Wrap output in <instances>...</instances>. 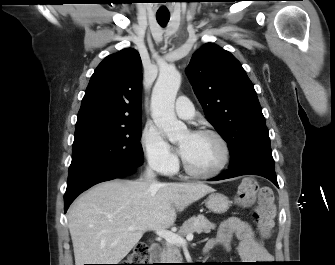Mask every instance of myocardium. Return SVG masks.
I'll return each instance as SVG.
<instances>
[{
  "label": "myocardium",
  "instance_id": "f54148a6",
  "mask_svg": "<svg viewBox=\"0 0 335 265\" xmlns=\"http://www.w3.org/2000/svg\"><path fill=\"white\" fill-rule=\"evenodd\" d=\"M191 134L196 136H211L214 137L222 148V159L220 163L211 171L199 172L192 169L182 158V167L185 173L196 179H210L218 176L228 165L231 157V150L227 140L219 132L211 129H199L193 131Z\"/></svg>",
  "mask_w": 335,
  "mask_h": 265
}]
</instances>
